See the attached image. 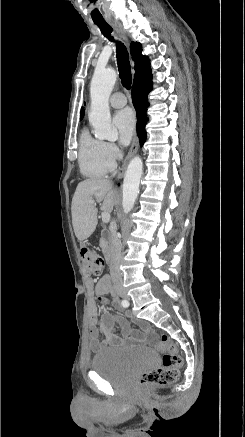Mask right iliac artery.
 <instances>
[{
    "label": "right iliac artery",
    "instance_id": "obj_1",
    "mask_svg": "<svg viewBox=\"0 0 245 437\" xmlns=\"http://www.w3.org/2000/svg\"><path fill=\"white\" fill-rule=\"evenodd\" d=\"M121 305L123 306V307H128L129 306V302L127 301V300H122L121 301Z\"/></svg>",
    "mask_w": 245,
    "mask_h": 437
}]
</instances>
